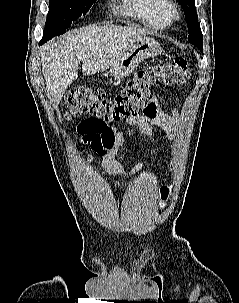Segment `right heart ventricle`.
I'll return each mask as SVG.
<instances>
[{"instance_id": "right-heart-ventricle-1", "label": "right heart ventricle", "mask_w": 239, "mask_h": 303, "mask_svg": "<svg viewBox=\"0 0 239 303\" xmlns=\"http://www.w3.org/2000/svg\"><path fill=\"white\" fill-rule=\"evenodd\" d=\"M123 12L148 28L161 30L170 25L167 8L171 0H122Z\"/></svg>"}]
</instances>
